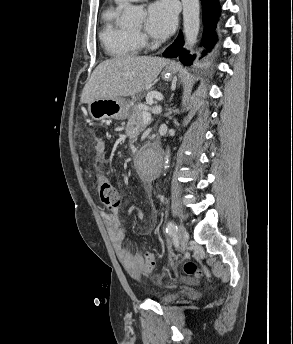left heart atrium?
<instances>
[{
    "instance_id": "obj_1",
    "label": "left heart atrium",
    "mask_w": 293,
    "mask_h": 344,
    "mask_svg": "<svg viewBox=\"0 0 293 344\" xmlns=\"http://www.w3.org/2000/svg\"><path fill=\"white\" fill-rule=\"evenodd\" d=\"M177 14L169 0H160L149 5L145 21L146 31L155 38H167L175 30Z\"/></svg>"
}]
</instances>
